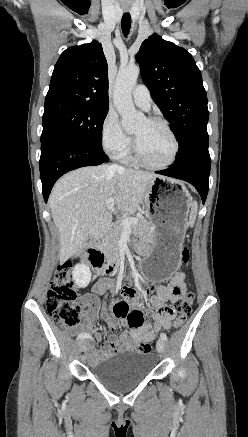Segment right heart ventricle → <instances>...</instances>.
<instances>
[{
    "label": "right heart ventricle",
    "instance_id": "right-heart-ventricle-1",
    "mask_svg": "<svg viewBox=\"0 0 248 437\" xmlns=\"http://www.w3.org/2000/svg\"><path fill=\"white\" fill-rule=\"evenodd\" d=\"M126 161L130 162L133 160V158L131 157V155L129 153L125 154L124 156H122Z\"/></svg>",
    "mask_w": 248,
    "mask_h": 437
}]
</instances>
